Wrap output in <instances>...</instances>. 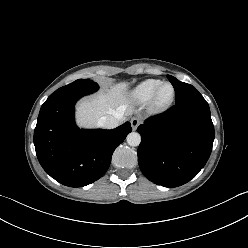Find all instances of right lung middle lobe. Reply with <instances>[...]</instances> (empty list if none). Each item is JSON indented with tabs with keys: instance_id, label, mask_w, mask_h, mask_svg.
Listing matches in <instances>:
<instances>
[{
	"instance_id": "1",
	"label": "right lung middle lobe",
	"mask_w": 248,
	"mask_h": 248,
	"mask_svg": "<svg viewBox=\"0 0 248 248\" xmlns=\"http://www.w3.org/2000/svg\"><path fill=\"white\" fill-rule=\"evenodd\" d=\"M99 89L98 84L89 79H78L58 90H85L95 92ZM57 91V90H56Z\"/></svg>"
}]
</instances>
